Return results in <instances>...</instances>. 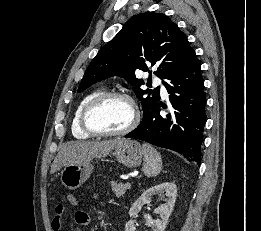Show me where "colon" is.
<instances>
[{
	"label": "colon",
	"instance_id": "5ec220e1",
	"mask_svg": "<svg viewBox=\"0 0 261 231\" xmlns=\"http://www.w3.org/2000/svg\"><path fill=\"white\" fill-rule=\"evenodd\" d=\"M65 209V205H61Z\"/></svg>",
	"mask_w": 261,
	"mask_h": 231
}]
</instances>
